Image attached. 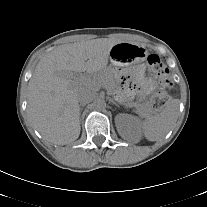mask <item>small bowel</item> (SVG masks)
I'll use <instances>...</instances> for the list:
<instances>
[{
	"label": "small bowel",
	"mask_w": 207,
	"mask_h": 207,
	"mask_svg": "<svg viewBox=\"0 0 207 207\" xmlns=\"http://www.w3.org/2000/svg\"><path fill=\"white\" fill-rule=\"evenodd\" d=\"M154 89V83L150 79L142 80V91L147 93Z\"/></svg>",
	"instance_id": "obj_1"
}]
</instances>
